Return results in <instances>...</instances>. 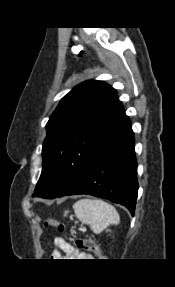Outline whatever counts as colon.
<instances>
[{
  "mask_svg": "<svg viewBox=\"0 0 175 287\" xmlns=\"http://www.w3.org/2000/svg\"><path fill=\"white\" fill-rule=\"evenodd\" d=\"M47 226H52L58 229L59 232L65 231V226L56 219L49 218L46 220ZM68 239L79 249H84L94 253L97 256H101V249L97 243L86 238H76L67 235Z\"/></svg>",
  "mask_w": 175,
  "mask_h": 287,
  "instance_id": "colon-1",
  "label": "colon"
}]
</instances>
